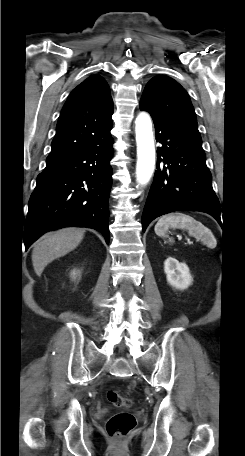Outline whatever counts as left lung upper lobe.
Returning a JSON list of instances; mask_svg holds the SVG:
<instances>
[{
    "mask_svg": "<svg viewBox=\"0 0 245 456\" xmlns=\"http://www.w3.org/2000/svg\"><path fill=\"white\" fill-rule=\"evenodd\" d=\"M140 108L200 137L195 111L187 92L170 77L158 75L147 83Z\"/></svg>",
    "mask_w": 245,
    "mask_h": 456,
    "instance_id": "1",
    "label": "left lung upper lobe"
}]
</instances>
